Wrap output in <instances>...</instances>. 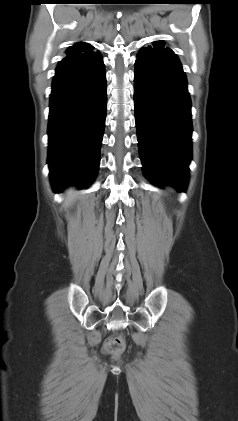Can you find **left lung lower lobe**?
<instances>
[{
  "label": "left lung lower lobe",
  "instance_id": "obj_1",
  "mask_svg": "<svg viewBox=\"0 0 238 421\" xmlns=\"http://www.w3.org/2000/svg\"><path fill=\"white\" fill-rule=\"evenodd\" d=\"M134 103L140 158L157 186L185 191L191 150V100L182 65L164 45L142 48L135 63Z\"/></svg>",
  "mask_w": 238,
  "mask_h": 421
}]
</instances>
